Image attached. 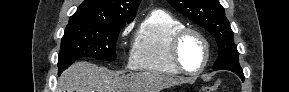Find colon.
<instances>
[{"label":"colon","mask_w":289,"mask_h":92,"mask_svg":"<svg viewBox=\"0 0 289 92\" xmlns=\"http://www.w3.org/2000/svg\"><path fill=\"white\" fill-rule=\"evenodd\" d=\"M219 88V84L218 83H215L213 85H210V86H207L204 88V91L205 92H212V91H217Z\"/></svg>","instance_id":"5ec220e1"}]
</instances>
